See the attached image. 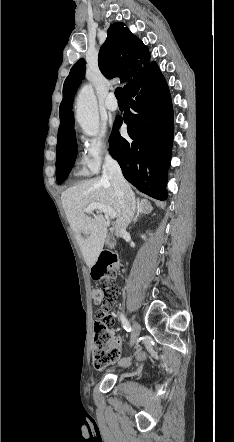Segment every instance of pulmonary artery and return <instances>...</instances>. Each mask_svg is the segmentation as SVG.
Masks as SVG:
<instances>
[{"mask_svg":"<svg viewBox=\"0 0 234 442\" xmlns=\"http://www.w3.org/2000/svg\"><path fill=\"white\" fill-rule=\"evenodd\" d=\"M105 107L109 110V111H116L118 109V103L115 99V96L113 93H110L105 101Z\"/></svg>","mask_w":234,"mask_h":442,"instance_id":"1","label":"pulmonary artery"}]
</instances>
